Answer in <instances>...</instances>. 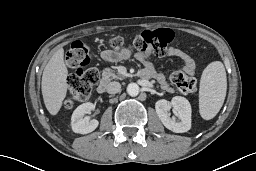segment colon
Segmentation results:
<instances>
[{
	"label": "colon",
	"mask_w": 256,
	"mask_h": 171,
	"mask_svg": "<svg viewBox=\"0 0 256 171\" xmlns=\"http://www.w3.org/2000/svg\"><path fill=\"white\" fill-rule=\"evenodd\" d=\"M172 38L173 33L170 29H145L129 39L119 35L112 36L109 43L114 49L128 44L135 52L145 57L164 56ZM93 55L87 43L75 41L71 44L66 56V62L73 71L68 80V96L65 101L67 108L85 102L98 81V70L95 67L87 68ZM171 82L179 92L185 94L194 93L198 86L197 78L182 70H176L171 74Z\"/></svg>",
	"instance_id": "colon-1"
}]
</instances>
